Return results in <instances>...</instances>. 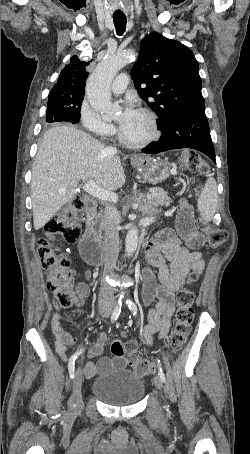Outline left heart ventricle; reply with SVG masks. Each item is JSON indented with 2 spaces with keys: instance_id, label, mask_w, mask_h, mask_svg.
I'll return each mask as SVG.
<instances>
[{
  "instance_id": "obj_1",
  "label": "left heart ventricle",
  "mask_w": 250,
  "mask_h": 454,
  "mask_svg": "<svg viewBox=\"0 0 250 454\" xmlns=\"http://www.w3.org/2000/svg\"><path fill=\"white\" fill-rule=\"evenodd\" d=\"M121 117L122 115L118 116L119 122ZM120 130L126 139L134 142L147 138L151 133L147 118L138 111L124 126H120Z\"/></svg>"
}]
</instances>
